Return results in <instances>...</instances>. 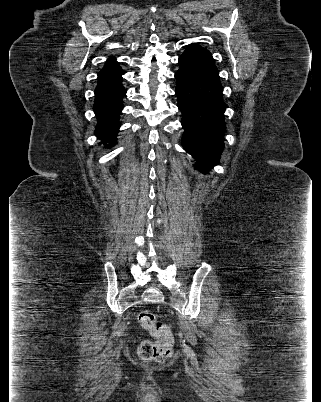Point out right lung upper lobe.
Masks as SVG:
<instances>
[{
	"mask_svg": "<svg viewBox=\"0 0 321 402\" xmlns=\"http://www.w3.org/2000/svg\"><path fill=\"white\" fill-rule=\"evenodd\" d=\"M107 63H116V61H115L114 58H110V59L107 61Z\"/></svg>",
	"mask_w": 321,
	"mask_h": 402,
	"instance_id": "1",
	"label": "right lung upper lobe"
}]
</instances>
